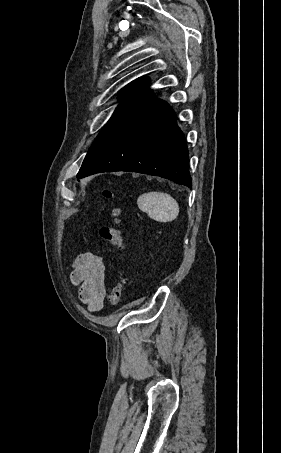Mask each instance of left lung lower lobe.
Listing matches in <instances>:
<instances>
[{
    "mask_svg": "<svg viewBox=\"0 0 281 453\" xmlns=\"http://www.w3.org/2000/svg\"><path fill=\"white\" fill-rule=\"evenodd\" d=\"M188 150L171 107L149 90L95 157L77 174L132 171L192 187Z\"/></svg>",
    "mask_w": 281,
    "mask_h": 453,
    "instance_id": "left-lung-lower-lobe-1",
    "label": "left lung lower lobe"
}]
</instances>
